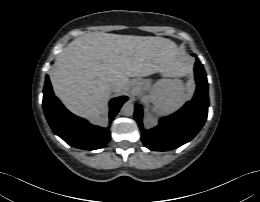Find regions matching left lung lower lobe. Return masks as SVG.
<instances>
[{
    "label": "left lung lower lobe",
    "instance_id": "0a47b994",
    "mask_svg": "<svg viewBox=\"0 0 260 202\" xmlns=\"http://www.w3.org/2000/svg\"><path fill=\"white\" fill-rule=\"evenodd\" d=\"M195 76L197 90L193 99L176 113L162 118L157 127L143 129L141 140L147 148L154 151L175 149L190 141L202 128L209 106L208 83L204 68L198 59L195 63ZM134 115L142 128L143 111L140 104L135 105Z\"/></svg>",
    "mask_w": 260,
    "mask_h": 202
}]
</instances>
